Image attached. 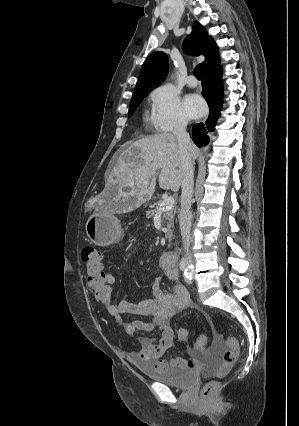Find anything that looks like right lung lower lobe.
Returning <instances> with one entry per match:
<instances>
[{
    "mask_svg": "<svg viewBox=\"0 0 299 426\" xmlns=\"http://www.w3.org/2000/svg\"><path fill=\"white\" fill-rule=\"evenodd\" d=\"M219 64L220 62L204 71L202 95L209 104L210 113L205 123L195 124L192 128L193 141L198 147L206 146L209 143L210 139L207 132L215 130L216 121L220 114L223 88Z\"/></svg>",
    "mask_w": 299,
    "mask_h": 426,
    "instance_id": "obj_1",
    "label": "right lung lower lobe"
}]
</instances>
